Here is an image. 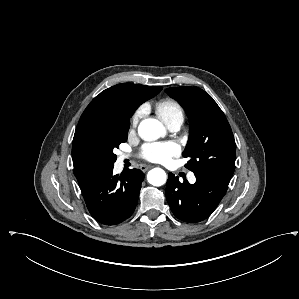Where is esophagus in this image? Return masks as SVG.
Listing matches in <instances>:
<instances>
[{
	"instance_id": "obj_1",
	"label": "esophagus",
	"mask_w": 299,
	"mask_h": 299,
	"mask_svg": "<svg viewBox=\"0 0 299 299\" xmlns=\"http://www.w3.org/2000/svg\"><path fill=\"white\" fill-rule=\"evenodd\" d=\"M152 166L151 165H140V169L143 172H146L147 170H149Z\"/></svg>"
}]
</instances>
